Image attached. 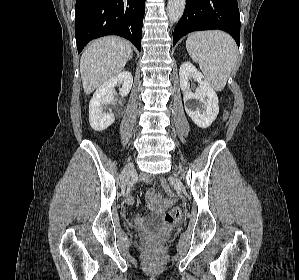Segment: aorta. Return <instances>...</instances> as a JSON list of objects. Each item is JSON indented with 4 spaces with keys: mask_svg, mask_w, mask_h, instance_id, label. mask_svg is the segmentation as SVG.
<instances>
[{
    "mask_svg": "<svg viewBox=\"0 0 299 280\" xmlns=\"http://www.w3.org/2000/svg\"><path fill=\"white\" fill-rule=\"evenodd\" d=\"M186 0H168L167 15L171 22H177L182 17Z\"/></svg>",
    "mask_w": 299,
    "mask_h": 280,
    "instance_id": "1",
    "label": "aorta"
}]
</instances>
